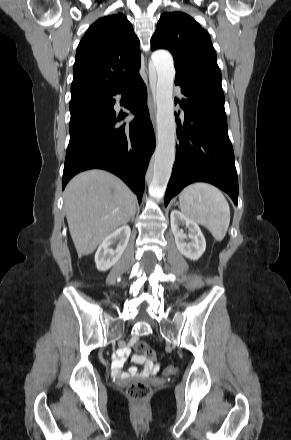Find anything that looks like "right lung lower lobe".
<instances>
[{
    "instance_id": "1",
    "label": "right lung lower lobe",
    "mask_w": 291,
    "mask_h": 440,
    "mask_svg": "<svg viewBox=\"0 0 291 440\" xmlns=\"http://www.w3.org/2000/svg\"><path fill=\"white\" fill-rule=\"evenodd\" d=\"M136 118L119 125L127 115H116V94ZM122 102V100H121ZM70 141L63 171L62 189L77 173L99 168L120 177L142 200L145 172L155 149V136L147 108V90L140 77L111 92L71 98Z\"/></svg>"
}]
</instances>
